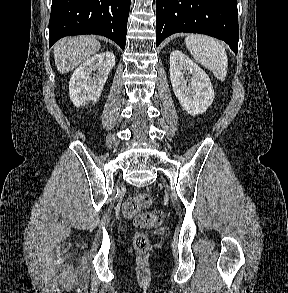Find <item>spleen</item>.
<instances>
[{
  "label": "spleen",
  "mask_w": 288,
  "mask_h": 293,
  "mask_svg": "<svg viewBox=\"0 0 288 293\" xmlns=\"http://www.w3.org/2000/svg\"><path fill=\"white\" fill-rule=\"evenodd\" d=\"M186 47L194 59L208 68L221 81L227 75L228 59L221 43L205 35H188Z\"/></svg>",
  "instance_id": "spleen-1"
}]
</instances>
